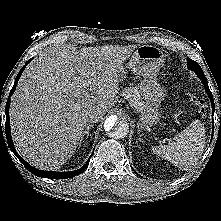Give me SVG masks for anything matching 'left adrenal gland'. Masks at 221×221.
Returning <instances> with one entry per match:
<instances>
[{"label":"left adrenal gland","mask_w":221,"mask_h":221,"mask_svg":"<svg viewBox=\"0 0 221 221\" xmlns=\"http://www.w3.org/2000/svg\"><path fill=\"white\" fill-rule=\"evenodd\" d=\"M138 140L144 142L143 139L141 138V135L139 136Z\"/></svg>","instance_id":"1"}]
</instances>
